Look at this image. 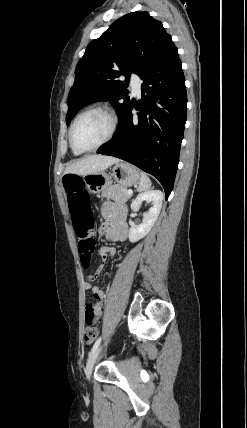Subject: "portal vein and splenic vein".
Segmentation results:
<instances>
[{
  "label": "portal vein and splenic vein",
  "mask_w": 247,
  "mask_h": 428,
  "mask_svg": "<svg viewBox=\"0 0 247 428\" xmlns=\"http://www.w3.org/2000/svg\"><path fill=\"white\" fill-rule=\"evenodd\" d=\"M127 193H128L129 195H131V194H133V191H132V190H127Z\"/></svg>",
  "instance_id": "18ae733b"
}]
</instances>
